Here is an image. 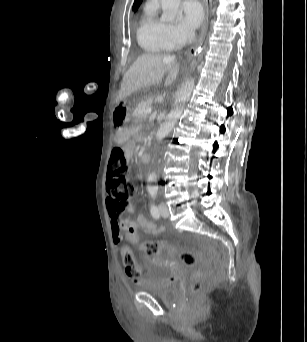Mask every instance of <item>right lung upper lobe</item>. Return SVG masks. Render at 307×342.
<instances>
[{
    "label": "right lung upper lobe",
    "mask_w": 307,
    "mask_h": 342,
    "mask_svg": "<svg viewBox=\"0 0 307 342\" xmlns=\"http://www.w3.org/2000/svg\"><path fill=\"white\" fill-rule=\"evenodd\" d=\"M139 0H136V2H135V4H134V8H135V6H136V3L138 2Z\"/></svg>",
    "instance_id": "right-lung-upper-lobe-1"
}]
</instances>
